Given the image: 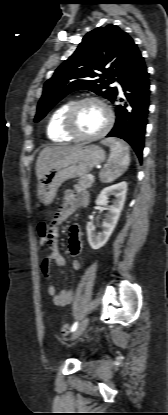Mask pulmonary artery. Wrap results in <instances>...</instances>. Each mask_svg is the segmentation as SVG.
Here are the masks:
<instances>
[{"mask_svg": "<svg viewBox=\"0 0 168 415\" xmlns=\"http://www.w3.org/2000/svg\"><path fill=\"white\" fill-rule=\"evenodd\" d=\"M115 86L121 91V87H120L119 83L115 82Z\"/></svg>", "mask_w": 168, "mask_h": 415, "instance_id": "e3ab8cb5", "label": "pulmonary artery"}]
</instances>
